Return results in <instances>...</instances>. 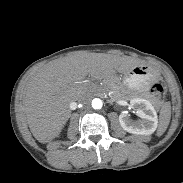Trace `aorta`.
Wrapping results in <instances>:
<instances>
[{"label":"aorta","instance_id":"762f6f07","mask_svg":"<svg viewBox=\"0 0 183 183\" xmlns=\"http://www.w3.org/2000/svg\"><path fill=\"white\" fill-rule=\"evenodd\" d=\"M103 106L102 100L99 98H95L92 100V107L94 109H101Z\"/></svg>","mask_w":183,"mask_h":183}]
</instances>
